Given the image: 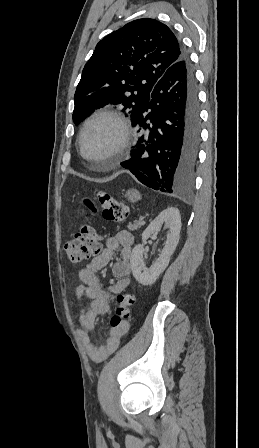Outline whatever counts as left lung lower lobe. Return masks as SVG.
Listing matches in <instances>:
<instances>
[{"label":"left lung lower lobe","mask_w":259,"mask_h":448,"mask_svg":"<svg viewBox=\"0 0 259 448\" xmlns=\"http://www.w3.org/2000/svg\"><path fill=\"white\" fill-rule=\"evenodd\" d=\"M142 134L121 163L144 185L165 193L193 182L200 141V113L194 71L183 50L155 84L149 103L130 116Z\"/></svg>","instance_id":"obj_1"}]
</instances>
